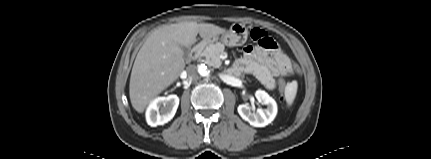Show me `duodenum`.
<instances>
[{"mask_svg":"<svg viewBox=\"0 0 431 159\" xmlns=\"http://www.w3.org/2000/svg\"><path fill=\"white\" fill-rule=\"evenodd\" d=\"M204 46H205L204 41L195 43L191 49L190 58L192 60L197 59L199 57V55L201 54ZM229 72H230V74H237V72L234 69H231Z\"/></svg>","mask_w":431,"mask_h":159,"instance_id":"410a0bca","label":"duodenum"}]
</instances>
